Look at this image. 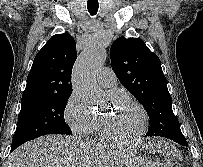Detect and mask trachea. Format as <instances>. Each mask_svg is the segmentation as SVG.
<instances>
[{"label":"trachea","instance_id":"3493384b","mask_svg":"<svg viewBox=\"0 0 203 167\" xmlns=\"http://www.w3.org/2000/svg\"><path fill=\"white\" fill-rule=\"evenodd\" d=\"M87 8L91 15H95L98 11L99 5L98 3H87Z\"/></svg>","mask_w":203,"mask_h":167}]
</instances>
